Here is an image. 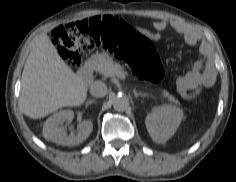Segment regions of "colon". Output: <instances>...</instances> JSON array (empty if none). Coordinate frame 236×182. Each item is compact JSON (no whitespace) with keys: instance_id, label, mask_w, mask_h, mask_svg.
Segmentation results:
<instances>
[{"instance_id":"obj_1","label":"colon","mask_w":236,"mask_h":182,"mask_svg":"<svg viewBox=\"0 0 236 182\" xmlns=\"http://www.w3.org/2000/svg\"><path fill=\"white\" fill-rule=\"evenodd\" d=\"M63 60L73 68L81 63V53L102 47L123 59L141 79L156 82L163 67L151 40L118 17L105 16L64 24L52 32Z\"/></svg>"}]
</instances>
